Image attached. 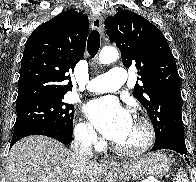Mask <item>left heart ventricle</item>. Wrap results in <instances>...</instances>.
I'll list each match as a JSON object with an SVG mask.
<instances>
[{
  "label": "left heart ventricle",
  "instance_id": "obj_1",
  "mask_svg": "<svg viewBox=\"0 0 196 182\" xmlns=\"http://www.w3.org/2000/svg\"><path fill=\"white\" fill-rule=\"evenodd\" d=\"M145 129L140 122L132 119L131 124L125 135L116 143L123 147H138L145 141Z\"/></svg>",
  "mask_w": 196,
  "mask_h": 182
}]
</instances>
